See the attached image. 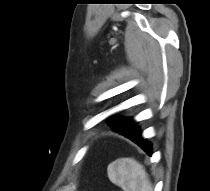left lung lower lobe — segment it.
<instances>
[{"label": "left lung lower lobe", "instance_id": "left-lung-lower-lobe-1", "mask_svg": "<svg viewBox=\"0 0 210 191\" xmlns=\"http://www.w3.org/2000/svg\"><path fill=\"white\" fill-rule=\"evenodd\" d=\"M138 144L149 156H152V145L141 137V132L136 129L131 133L124 135Z\"/></svg>", "mask_w": 210, "mask_h": 191}]
</instances>
